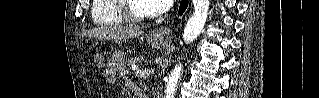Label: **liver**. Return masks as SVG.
<instances>
[{
    "label": "liver",
    "mask_w": 319,
    "mask_h": 98,
    "mask_svg": "<svg viewBox=\"0 0 319 98\" xmlns=\"http://www.w3.org/2000/svg\"><path fill=\"white\" fill-rule=\"evenodd\" d=\"M143 32L122 26H102L86 32V36L97 40L129 39L142 35Z\"/></svg>",
    "instance_id": "obj_1"
}]
</instances>
